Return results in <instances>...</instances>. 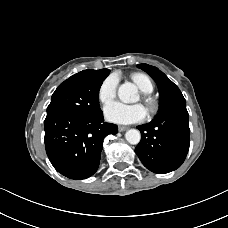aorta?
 I'll list each match as a JSON object with an SVG mask.
<instances>
[{
    "label": "aorta",
    "instance_id": "obj_1",
    "mask_svg": "<svg viewBox=\"0 0 228 228\" xmlns=\"http://www.w3.org/2000/svg\"><path fill=\"white\" fill-rule=\"evenodd\" d=\"M118 97L124 103H134L139 99L137 87L126 82L118 88ZM125 138L128 143L136 145L140 142L141 134L137 129H130L126 132Z\"/></svg>",
    "mask_w": 228,
    "mask_h": 228
}]
</instances>
